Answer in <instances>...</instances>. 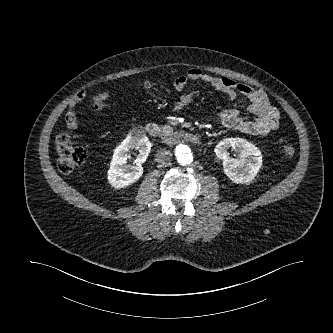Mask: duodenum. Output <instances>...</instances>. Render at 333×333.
<instances>
[{"instance_id": "obj_1", "label": "duodenum", "mask_w": 333, "mask_h": 333, "mask_svg": "<svg viewBox=\"0 0 333 333\" xmlns=\"http://www.w3.org/2000/svg\"><path fill=\"white\" fill-rule=\"evenodd\" d=\"M146 131L151 137L161 139L167 144H176L180 142H199V138L195 134L184 130L165 129L157 124H149L146 128Z\"/></svg>"}]
</instances>
